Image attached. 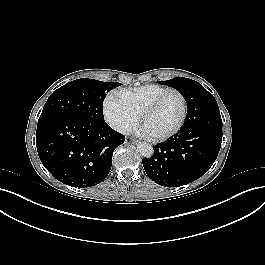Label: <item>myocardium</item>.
<instances>
[{
    "label": "myocardium",
    "instance_id": "f54148a6",
    "mask_svg": "<svg viewBox=\"0 0 265 265\" xmlns=\"http://www.w3.org/2000/svg\"><path fill=\"white\" fill-rule=\"evenodd\" d=\"M170 92H175L177 93L182 101V114L180 117L179 122L177 123V125L169 132L162 134V135H150L149 137H147L149 140L151 141H165L171 137H173L174 135H176L181 128L183 127L185 120H186V116H187V101L186 98L184 96V94L179 91L176 88H166L164 89L162 92H160L158 95H156L145 107L144 109L141 111L140 115H139V124L142 126L143 125V121L146 118V116L153 111L156 106L158 105V103L160 102V100L168 93Z\"/></svg>",
    "mask_w": 265,
    "mask_h": 265
}]
</instances>
